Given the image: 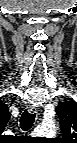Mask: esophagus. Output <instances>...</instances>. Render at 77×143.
I'll return each instance as SVG.
<instances>
[{"mask_svg":"<svg viewBox=\"0 0 77 143\" xmlns=\"http://www.w3.org/2000/svg\"><path fill=\"white\" fill-rule=\"evenodd\" d=\"M28 111L30 113H37L38 112V108L36 106H34V105H29L28 106Z\"/></svg>","mask_w":77,"mask_h":143,"instance_id":"1","label":"esophagus"}]
</instances>
